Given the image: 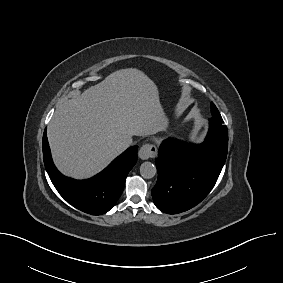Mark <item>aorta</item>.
I'll use <instances>...</instances> for the list:
<instances>
[{
	"mask_svg": "<svg viewBox=\"0 0 283 283\" xmlns=\"http://www.w3.org/2000/svg\"><path fill=\"white\" fill-rule=\"evenodd\" d=\"M156 167L151 162H144L140 166V174L142 177L151 179L156 175Z\"/></svg>",
	"mask_w": 283,
	"mask_h": 283,
	"instance_id": "obj_1",
	"label": "aorta"
}]
</instances>
